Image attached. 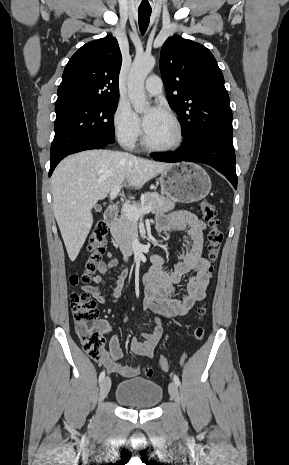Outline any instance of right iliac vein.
Listing matches in <instances>:
<instances>
[{
	"instance_id": "right-iliac-vein-1",
	"label": "right iliac vein",
	"mask_w": 289,
	"mask_h": 465,
	"mask_svg": "<svg viewBox=\"0 0 289 465\" xmlns=\"http://www.w3.org/2000/svg\"><path fill=\"white\" fill-rule=\"evenodd\" d=\"M111 388V380L109 377H106L100 385L99 400L102 401L106 398Z\"/></svg>"
}]
</instances>
